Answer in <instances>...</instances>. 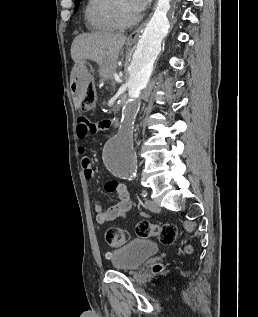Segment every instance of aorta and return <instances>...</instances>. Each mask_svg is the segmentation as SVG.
<instances>
[{
  "label": "aorta",
  "instance_id": "762f6f07",
  "mask_svg": "<svg viewBox=\"0 0 258 317\" xmlns=\"http://www.w3.org/2000/svg\"><path fill=\"white\" fill-rule=\"evenodd\" d=\"M170 0H158L155 12L138 41L128 68V101L122 109L118 132L108 140L103 153L106 168L123 179L133 178L137 169L136 153L133 149V130L140 109V94L147 86L153 65L161 51L162 40L169 32L167 13Z\"/></svg>",
  "mask_w": 258,
  "mask_h": 317
}]
</instances>
